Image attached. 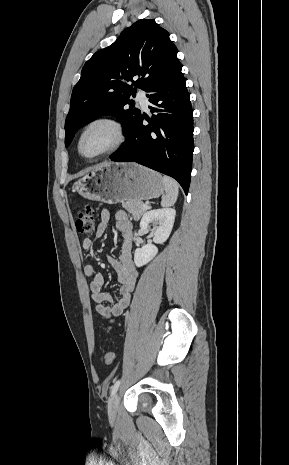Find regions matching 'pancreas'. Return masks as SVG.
Segmentation results:
<instances>
[{
    "mask_svg": "<svg viewBox=\"0 0 289 465\" xmlns=\"http://www.w3.org/2000/svg\"><path fill=\"white\" fill-rule=\"evenodd\" d=\"M122 206L132 214L134 220H139L146 211V209H143V203L141 201H126L122 203Z\"/></svg>",
    "mask_w": 289,
    "mask_h": 465,
    "instance_id": "1",
    "label": "pancreas"
}]
</instances>
